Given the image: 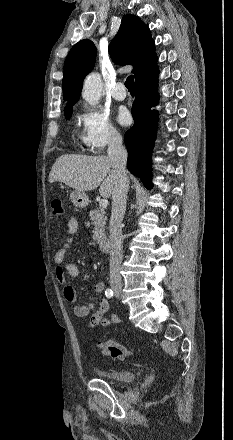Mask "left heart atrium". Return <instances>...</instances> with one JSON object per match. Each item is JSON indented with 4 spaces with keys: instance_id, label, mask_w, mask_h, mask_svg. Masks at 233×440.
Returning <instances> with one entry per match:
<instances>
[{
    "instance_id": "1",
    "label": "left heart atrium",
    "mask_w": 233,
    "mask_h": 440,
    "mask_svg": "<svg viewBox=\"0 0 233 440\" xmlns=\"http://www.w3.org/2000/svg\"><path fill=\"white\" fill-rule=\"evenodd\" d=\"M117 120L122 125H127L130 123L131 117L126 108H120L117 113Z\"/></svg>"
}]
</instances>
